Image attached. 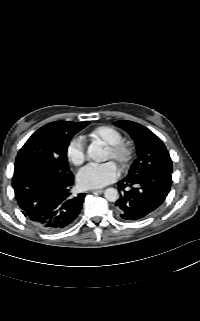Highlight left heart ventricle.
Returning a JSON list of instances; mask_svg holds the SVG:
<instances>
[{"mask_svg":"<svg viewBox=\"0 0 200 321\" xmlns=\"http://www.w3.org/2000/svg\"><path fill=\"white\" fill-rule=\"evenodd\" d=\"M105 159H113L111 153L108 150H106Z\"/></svg>","mask_w":200,"mask_h":321,"instance_id":"left-heart-ventricle-1","label":"left heart ventricle"}]
</instances>
